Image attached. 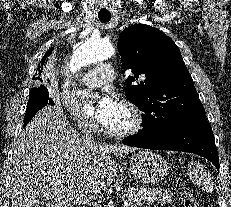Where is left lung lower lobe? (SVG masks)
Segmentation results:
<instances>
[{
	"mask_svg": "<svg viewBox=\"0 0 231 207\" xmlns=\"http://www.w3.org/2000/svg\"><path fill=\"white\" fill-rule=\"evenodd\" d=\"M122 142L140 148L198 154L211 161L219 171L215 138L206 118L188 121L160 136H151L139 132L127 137Z\"/></svg>",
	"mask_w": 231,
	"mask_h": 207,
	"instance_id": "left-lung-lower-lobe-1",
	"label": "left lung lower lobe"
}]
</instances>
